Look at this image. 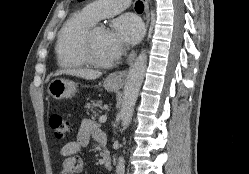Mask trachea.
Listing matches in <instances>:
<instances>
[{"mask_svg": "<svg viewBox=\"0 0 249 174\" xmlns=\"http://www.w3.org/2000/svg\"><path fill=\"white\" fill-rule=\"evenodd\" d=\"M135 10H136V12H138V13L143 12V10H144V5H143V3H142L141 1L138 0V1L135 3Z\"/></svg>", "mask_w": 249, "mask_h": 174, "instance_id": "obj_1", "label": "trachea"}]
</instances>
